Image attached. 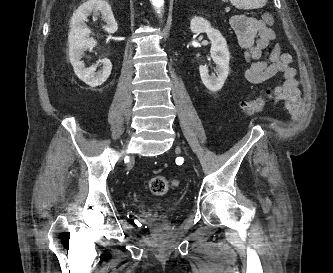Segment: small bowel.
<instances>
[{
    "instance_id": "obj_1",
    "label": "small bowel",
    "mask_w": 333,
    "mask_h": 273,
    "mask_svg": "<svg viewBox=\"0 0 333 273\" xmlns=\"http://www.w3.org/2000/svg\"><path fill=\"white\" fill-rule=\"evenodd\" d=\"M231 26L248 64L243 71L245 79L260 84L281 73L282 82L269 90L266 100L294 110L300 104V90L296 70L291 66L292 57L282 53L279 44L271 54L263 57L264 50L276 38L274 31L263 20L245 14L233 16Z\"/></svg>"
}]
</instances>
